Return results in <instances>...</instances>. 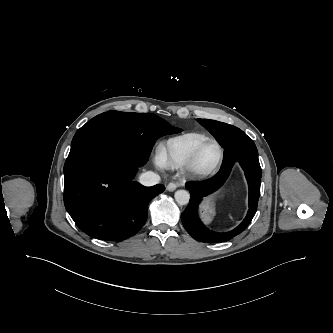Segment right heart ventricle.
Listing matches in <instances>:
<instances>
[{
  "mask_svg": "<svg viewBox=\"0 0 333 333\" xmlns=\"http://www.w3.org/2000/svg\"><path fill=\"white\" fill-rule=\"evenodd\" d=\"M208 138L205 134L195 132L169 138L160 147V161L171 168L183 167L196 148Z\"/></svg>",
  "mask_w": 333,
  "mask_h": 333,
  "instance_id": "obj_1",
  "label": "right heart ventricle"
}]
</instances>
